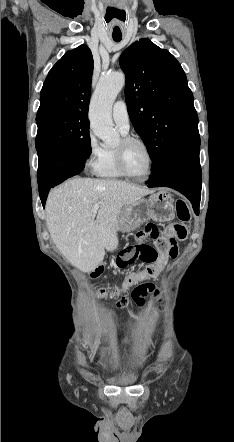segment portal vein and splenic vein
Returning <instances> with one entry per match:
<instances>
[{
  "label": "portal vein and splenic vein",
  "instance_id": "obj_1",
  "mask_svg": "<svg viewBox=\"0 0 234 442\" xmlns=\"http://www.w3.org/2000/svg\"><path fill=\"white\" fill-rule=\"evenodd\" d=\"M99 207H100V203H96V204H94L91 213H92V214H96L97 211H98V209H99Z\"/></svg>",
  "mask_w": 234,
  "mask_h": 442
}]
</instances>
